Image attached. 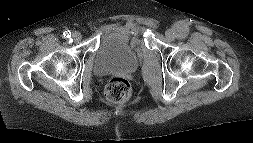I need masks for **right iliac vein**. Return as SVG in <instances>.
<instances>
[{
	"label": "right iliac vein",
	"instance_id": "1",
	"mask_svg": "<svg viewBox=\"0 0 253 143\" xmlns=\"http://www.w3.org/2000/svg\"><path fill=\"white\" fill-rule=\"evenodd\" d=\"M72 38H73V40H74L75 42H79V41H81V39H82V35H81V33H79V32H74V33L72 34Z\"/></svg>",
	"mask_w": 253,
	"mask_h": 143
}]
</instances>
